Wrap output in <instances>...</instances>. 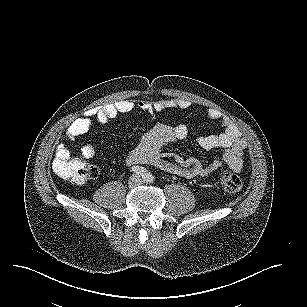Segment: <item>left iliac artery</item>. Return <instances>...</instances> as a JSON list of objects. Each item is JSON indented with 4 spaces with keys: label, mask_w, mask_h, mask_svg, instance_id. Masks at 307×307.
I'll return each mask as SVG.
<instances>
[{
    "label": "left iliac artery",
    "mask_w": 307,
    "mask_h": 307,
    "mask_svg": "<svg viewBox=\"0 0 307 307\" xmlns=\"http://www.w3.org/2000/svg\"><path fill=\"white\" fill-rule=\"evenodd\" d=\"M143 180L146 181V182H150V181L153 180V178H152L151 175L150 176L148 175V177H145Z\"/></svg>",
    "instance_id": "left-iliac-artery-1"
}]
</instances>
